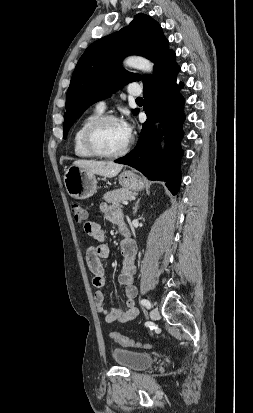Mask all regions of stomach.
Returning <instances> with one entry per match:
<instances>
[{
	"instance_id": "1",
	"label": "stomach",
	"mask_w": 253,
	"mask_h": 413,
	"mask_svg": "<svg viewBox=\"0 0 253 413\" xmlns=\"http://www.w3.org/2000/svg\"><path fill=\"white\" fill-rule=\"evenodd\" d=\"M118 180L123 189L128 191H140L144 188V181L133 171H123ZM64 185L72 198L83 200L96 192L97 181L95 174L72 165L65 170Z\"/></svg>"
}]
</instances>
